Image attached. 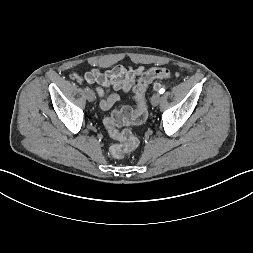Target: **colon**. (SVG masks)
<instances>
[{
    "label": "colon",
    "instance_id": "5ec220e1",
    "mask_svg": "<svg viewBox=\"0 0 253 253\" xmlns=\"http://www.w3.org/2000/svg\"><path fill=\"white\" fill-rule=\"evenodd\" d=\"M172 77L167 68H152L145 72L134 87V97L136 108L129 106L123 107L111 116L104 119V125L109 136L117 143L110 147L109 155L112 159H120L126 153L135 149L138 145V139L128 129L121 130L125 125H141L148 115L146 103V91L150 83L154 80H169Z\"/></svg>",
    "mask_w": 253,
    "mask_h": 253
}]
</instances>
